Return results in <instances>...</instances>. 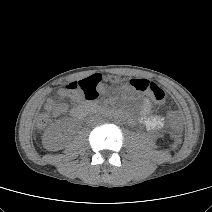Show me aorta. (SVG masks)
<instances>
[{"mask_svg": "<svg viewBox=\"0 0 212 212\" xmlns=\"http://www.w3.org/2000/svg\"><path fill=\"white\" fill-rule=\"evenodd\" d=\"M114 119H115L117 122H120L121 119H122V117H121V115L117 114V115L114 117Z\"/></svg>", "mask_w": 212, "mask_h": 212, "instance_id": "1", "label": "aorta"}]
</instances>
